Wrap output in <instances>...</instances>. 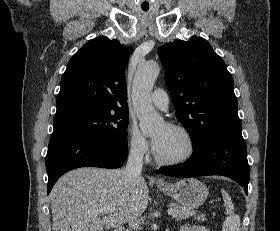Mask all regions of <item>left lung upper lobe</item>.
Returning a JSON list of instances; mask_svg holds the SVG:
<instances>
[{
  "instance_id": "1",
  "label": "left lung upper lobe",
  "mask_w": 280,
  "mask_h": 231,
  "mask_svg": "<svg viewBox=\"0 0 280 231\" xmlns=\"http://www.w3.org/2000/svg\"><path fill=\"white\" fill-rule=\"evenodd\" d=\"M158 55L176 115L192 143L217 132L241 130L232 76L205 39L164 44Z\"/></svg>"
}]
</instances>
